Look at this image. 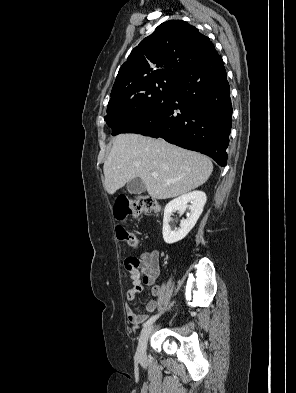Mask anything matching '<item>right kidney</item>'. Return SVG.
<instances>
[{
	"mask_svg": "<svg viewBox=\"0 0 296 393\" xmlns=\"http://www.w3.org/2000/svg\"><path fill=\"white\" fill-rule=\"evenodd\" d=\"M206 200L207 198L204 192L193 191L170 201L165 206L163 218V239L167 244L176 243L187 236L202 214ZM188 203H191V205H188ZM187 207L190 209V216L187 219L181 220L180 228L171 230L169 222L172 213L175 211L184 213Z\"/></svg>",
	"mask_w": 296,
	"mask_h": 393,
	"instance_id": "right-kidney-1",
	"label": "right kidney"
}]
</instances>
